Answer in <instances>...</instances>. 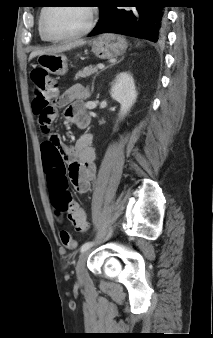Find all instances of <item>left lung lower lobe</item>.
Here are the masks:
<instances>
[{
  "instance_id": "left-lung-lower-lobe-1",
  "label": "left lung lower lobe",
  "mask_w": 213,
  "mask_h": 338,
  "mask_svg": "<svg viewBox=\"0 0 213 338\" xmlns=\"http://www.w3.org/2000/svg\"><path fill=\"white\" fill-rule=\"evenodd\" d=\"M164 4L163 0H101L100 19L89 36L111 32L162 43L167 22Z\"/></svg>"
}]
</instances>
